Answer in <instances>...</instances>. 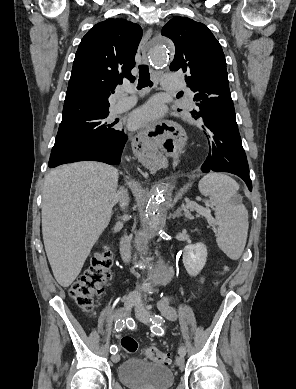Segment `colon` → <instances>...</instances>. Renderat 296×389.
<instances>
[{"label": "colon", "mask_w": 296, "mask_h": 389, "mask_svg": "<svg viewBox=\"0 0 296 389\" xmlns=\"http://www.w3.org/2000/svg\"><path fill=\"white\" fill-rule=\"evenodd\" d=\"M112 263L111 252L107 247H103L94 254L90 267L70 286L69 294L82 310L93 311L95 298L102 293L110 280ZM226 271L225 267L222 274ZM121 347L125 352L134 354L138 350V342L131 336H124L121 339ZM145 354L149 360L156 363L168 365L171 362L169 354L156 347H149Z\"/></svg>", "instance_id": "1"}]
</instances>
